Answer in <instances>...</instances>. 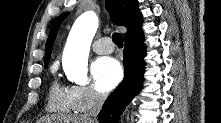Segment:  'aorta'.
<instances>
[{
  "mask_svg": "<svg viewBox=\"0 0 221 123\" xmlns=\"http://www.w3.org/2000/svg\"><path fill=\"white\" fill-rule=\"evenodd\" d=\"M98 23L97 15L87 11L76 19L69 33L62 56V66L67 78L76 84L88 83V56Z\"/></svg>",
  "mask_w": 221,
  "mask_h": 123,
  "instance_id": "762f6f07",
  "label": "aorta"
}]
</instances>
